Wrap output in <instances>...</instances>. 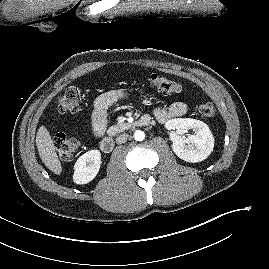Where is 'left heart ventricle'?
<instances>
[{
  "instance_id": "obj_1",
  "label": "left heart ventricle",
  "mask_w": 269,
  "mask_h": 269,
  "mask_svg": "<svg viewBox=\"0 0 269 269\" xmlns=\"http://www.w3.org/2000/svg\"><path fill=\"white\" fill-rule=\"evenodd\" d=\"M39 1V0H38ZM40 1H45V2H48V1H50V0H40ZM53 1H55V0H53Z\"/></svg>"
}]
</instances>
